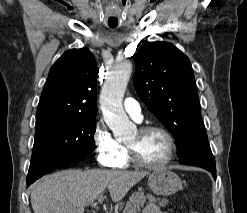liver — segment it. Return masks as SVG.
<instances>
[{
    "instance_id": "obj_1",
    "label": "liver",
    "mask_w": 247,
    "mask_h": 213,
    "mask_svg": "<svg viewBox=\"0 0 247 213\" xmlns=\"http://www.w3.org/2000/svg\"><path fill=\"white\" fill-rule=\"evenodd\" d=\"M147 174L99 169L56 172L32 185L31 205L34 213H84L106 188L112 201L119 202Z\"/></svg>"
}]
</instances>
